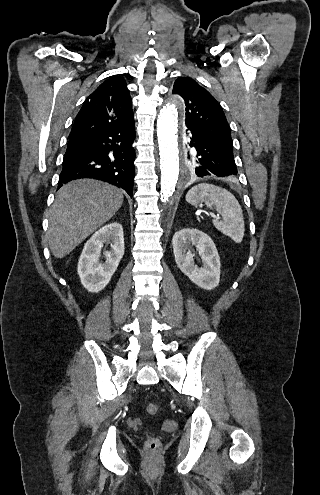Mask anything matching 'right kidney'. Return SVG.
Wrapping results in <instances>:
<instances>
[{
	"label": "right kidney",
	"mask_w": 320,
	"mask_h": 495,
	"mask_svg": "<svg viewBox=\"0 0 320 495\" xmlns=\"http://www.w3.org/2000/svg\"><path fill=\"white\" fill-rule=\"evenodd\" d=\"M105 243H111V250L105 251L106 261L99 257ZM124 255V235L122 225H105L87 241L78 262V274L83 287L91 293L105 288L116 271Z\"/></svg>",
	"instance_id": "ca27d5eb"
}]
</instances>
